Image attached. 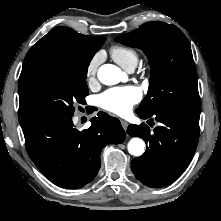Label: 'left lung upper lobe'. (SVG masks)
I'll return each mask as SVG.
<instances>
[{"label":"left lung upper lobe","instance_id":"1","mask_svg":"<svg viewBox=\"0 0 221 221\" xmlns=\"http://www.w3.org/2000/svg\"><path fill=\"white\" fill-rule=\"evenodd\" d=\"M116 42L139 47L149 59L150 84L137 112L165 106L200 113L197 72L188 39L174 25L149 22L133 32L119 35Z\"/></svg>","mask_w":221,"mask_h":221}]
</instances>
